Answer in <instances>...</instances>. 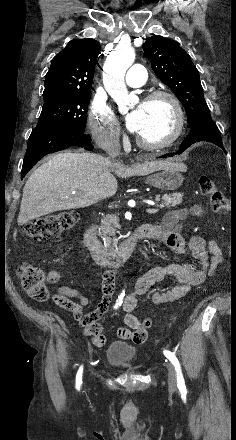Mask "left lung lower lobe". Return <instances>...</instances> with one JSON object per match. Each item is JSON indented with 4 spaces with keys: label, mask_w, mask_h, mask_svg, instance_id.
Wrapping results in <instances>:
<instances>
[{
    "label": "left lung lower lobe",
    "mask_w": 236,
    "mask_h": 440,
    "mask_svg": "<svg viewBox=\"0 0 236 440\" xmlns=\"http://www.w3.org/2000/svg\"><path fill=\"white\" fill-rule=\"evenodd\" d=\"M199 141H207L216 144L220 148L225 151L223 147V143L221 140V135L218 130V128L213 123L212 119L206 120L199 124L197 127L191 129V132L187 136V138L184 140V142L181 144L180 149L177 153H181L186 148L191 146L193 143L199 142ZM174 156V153H169L162 155L161 158L171 157Z\"/></svg>",
    "instance_id": "obj_1"
}]
</instances>
